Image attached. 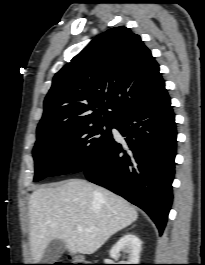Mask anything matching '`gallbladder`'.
I'll list each match as a JSON object with an SVG mask.
<instances>
[{
  "mask_svg": "<svg viewBox=\"0 0 205 265\" xmlns=\"http://www.w3.org/2000/svg\"><path fill=\"white\" fill-rule=\"evenodd\" d=\"M66 250L65 242L61 239H53L46 247L42 256L43 264H52L57 261Z\"/></svg>",
  "mask_w": 205,
  "mask_h": 265,
  "instance_id": "bac80fb5",
  "label": "gallbladder"
}]
</instances>
